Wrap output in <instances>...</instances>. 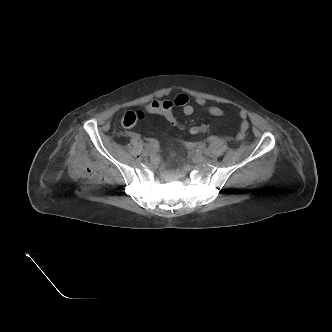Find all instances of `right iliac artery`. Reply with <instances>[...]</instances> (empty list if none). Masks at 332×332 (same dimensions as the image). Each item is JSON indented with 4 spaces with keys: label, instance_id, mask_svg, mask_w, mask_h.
I'll use <instances>...</instances> for the list:
<instances>
[{
    "label": "right iliac artery",
    "instance_id": "right-iliac-artery-1",
    "mask_svg": "<svg viewBox=\"0 0 332 332\" xmlns=\"http://www.w3.org/2000/svg\"><path fill=\"white\" fill-rule=\"evenodd\" d=\"M153 148V145L151 143H145L144 144V150L147 151V150H151Z\"/></svg>",
    "mask_w": 332,
    "mask_h": 332
}]
</instances>
